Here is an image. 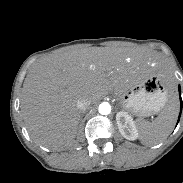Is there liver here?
Returning a JSON list of instances; mask_svg holds the SVG:
<instances>
[{
  "label": "liver",
  "instance_id": "1",
  "mask_svg": "<svg viewBox=\"0 0 183 183\" xmlns=\"http://www.w3.org/2000/svg\"><path fill=\"white\" fill-rule=\"evenodd\" d=\"M147 64L156 60L144 51L119 47L72 49L37 60L28 70L21 96L30 136L53 150L68 146L81 118L78 100L90 106L111 92L123 93Z\"/></svg>",
  "mask_w": 183,
  "mask_h": 183
}]
</instances>
